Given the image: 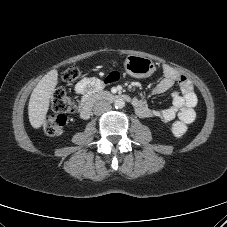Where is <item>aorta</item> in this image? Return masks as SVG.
Returning <instances> with one entry per match:
<instances>
[{
    "label": "aorta",
    "instance_id": "aorta-1",
    "mask_svg": "<svg viewBox=\"0 0 227 227\" xmlns=\"http://www.w3.org/2000/svg\"><path fill=\"white\" fill-rule=\"evenodd\" d=\"M114 106H115L116 109H121L125 106V101L121 98L116 99L115 102H114Z\"/></svg>",
    "mask_w": 227,
    "mask_h": 227
}]
</instances>
